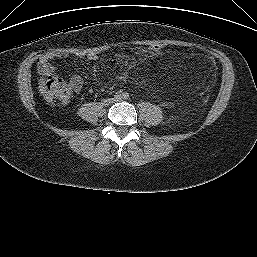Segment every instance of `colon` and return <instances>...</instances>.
<instances>
[{
	"label": "colon",
	"mask_w": 257,
	"mask_h": 257,
	"mask_svg": "<svg viewBox=\"0 0 257 257\" xmlns=\"http://www.w3.org/2000/svg\"><path fill=\"white\" fill-rule=\"evenodd\" d=\"M148 49L150 52L159 53L163 50V46L161 44H153ZM44 93L50 99L66 103L72 95V89L61 77L50 75L44 85Z\"/></svg>",
	"instance_id": "1"
}]
</instances>
